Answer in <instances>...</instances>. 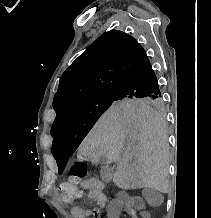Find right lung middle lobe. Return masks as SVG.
<instances>
[{"instance_id": "obj_1", "label": "right lung middle lobe", "mask_w": 211, "mask_h": 218, "mask_svg": "<svg viewBox=\"0 0 211 218\" xmlns=\"http://www.w3.org/2000/svg\"><path fill=\"white\" fill-rule=\"evenodd\" d=\"M147 107L163 111L161 97H125L109 93L86 100L58 116L51 128L53 145L69 144L78 147L98 118L110 107ZM64 167L59 166L61 174Z\"/></svg>"}]
</instances>
